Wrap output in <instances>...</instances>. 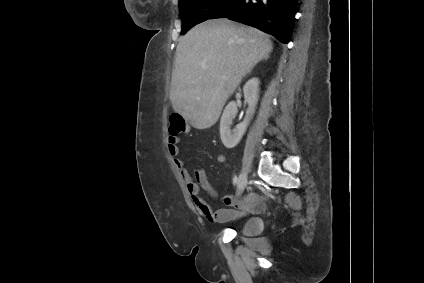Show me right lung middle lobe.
I'll list each match as a JSON object with an SVG mask.
<instances>
[{
	"label": "right lung middle lobe",
	"instance_id": "right-lung-middle-lobe-1",
	"mask_svg": "<svg viewBox=\"0 0 424 283\" xmlns=\"http://www.w3.org/2000/svg\"><path fill=\"white\" fill-rule=\"evenodd\" d=\"M228 2L229 0H179L181 34H185L196 24L208 20Z\"/></svg>",
	"mask_w": 424,
	"mask_h": 283
}]
</instances>
